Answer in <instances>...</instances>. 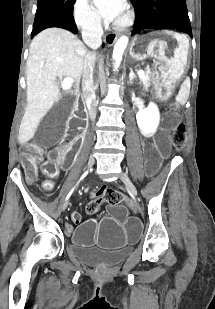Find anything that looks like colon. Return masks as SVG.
<instances>
[{
    "label": "colon",
    "mask_w": 215,
    "mask_h": 309,
    "mask_svg": "<svg viewBox=\"0 0 215 309\" xmlns=\"http://www.w3.org/2000/svg\"><path fill=\"white\" fill-rule=\"evenodd\" d=\"M171 140L176 150L183 149L184 144L186 143V126L183 122H179L175 125ZM38 159L39 158L36 155L31 153H27L24 156L23 165L28 174L32 175L36 172ZM45 173L48 177L42 183V188L45 191H50L54 186V179L58 174V164L55 161L48 162L45 165ZM104 200L110 205H120L124 202L125 196L116 190L105 189L101 194L94 195L88 202L86 207L88 214L93 215L97 213Z\"/></svg>",
    "instance_id": "5ec220e1"
}]
</instances>
